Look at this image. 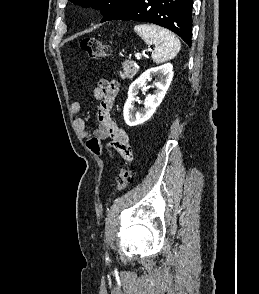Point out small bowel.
I'll return each mask as SVG.
<instances>
[{
  "label": "small bowel",
  "instance_id": "obj_1",
  "mask_svg": "<svg viewBox=\"0 0 259 294\" xmlns=\"http://www.w3.org/2000/svg\"><path fill=\"white\" fill-rule=\"evenodd\" d=\"M119 91V83L116 81L100 80L93 90V97L99 101L97 109V128L90 132L86 122L82 118H76L73 122L76 133L82 137L89 149L96 155L102 153L100 141L111 139L110 147L116 150L123 159L130 161L132 159V150L129 145V136L127 132L119 127L111 119V111ZM72 115L77 116L81 112L79 102H74L70 106Z\"/></svg>",
  "mask_w": 259,
  "mask_h": 294
}]
</instances>
